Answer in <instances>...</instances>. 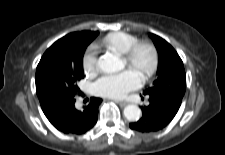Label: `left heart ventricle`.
Returning <instances> with one entry per match:
<instances>
[{
	"mask_svg": "<svg viewBox=\"0 0 225 155\" xmlns=\"http://www.w3.org/2000/svg\"><path fill=\"white\" fill-rule=\"evenodd\" d=\"M148 61V55L146 52H142L140 57H139V63L138 66L133 68L137 73H139L141 75L144 67L146 66Z\"/></svg>",
	"mask_w": 225,
	"mask_h": 155,
	"instance_id": "b2bd125f",
	"label": "left heart ventricle"
}]
</instances>
